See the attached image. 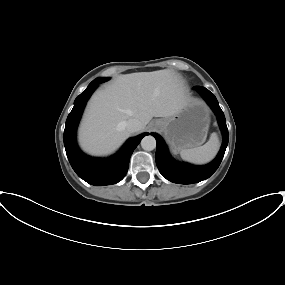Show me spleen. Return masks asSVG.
I'll use <instances>...</instances> for the list:
<instances>
[{"label": "spleen", "mask_w": 285, "mask_h": 285, "mask_svg": "<svg viewBox=\"0 0 285 285\" xmlns=\"http://www.w3.org/2000/svg\"><path fill=\"white\" fill-rule=\"evenodd\" d=\"M220 144L216 133H213L207 143L203 146L183 149L180 155L183 160L194 164H206L217 154Z\"/></svg>", "instance_id": "obj_1"}]
</instances>
